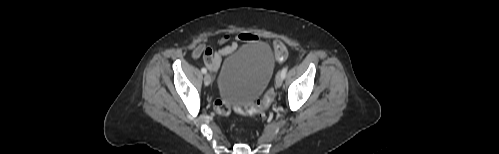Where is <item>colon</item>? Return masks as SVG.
Masks as SVG:
<instances>
[{
	"label": "colon",
	"mask_w": 499,
	"mask_h": 154,
	"mask_svg": "<svg viewBox=\"0 0 499 154\" xmlns=\"http://www.w3.org/2000/svg\"><path fill=\"white\" fill-rule=\"evenodd\" d=\"M202 53L204 60L207 61L211 59L213 50L206 48ZM274 54L277 61H284L287 58L286 47L282 43L276 42L274 45ZM272 101L273 93L271 91H267L256 103H250L244 106H231L223 99H218L214 103V111L220 116H227L232 111L243 115H258L264 113L270 107Z\"/></svg>",
	"instance_id": "1"
}]
</instances>
